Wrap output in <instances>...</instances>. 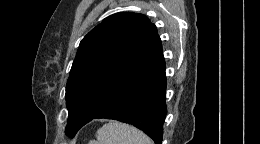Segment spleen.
<instances>
[{
    "label": "spleen",
    "instance_id": "1",
    "mask_svg": "<svg viewBox=\"0 0 260 144\" xmlns=\"http://www.w3.org/2000/svg\"><path fill=\"white\" fill-rule=\"evenodd\" d=\"M96 141L89 144H153L142 131L133 126L112 121L97 130Z\"/></svg>",
    "mask_w": 260,
    "mask_h": 144
}]
</instances>
